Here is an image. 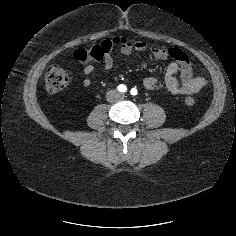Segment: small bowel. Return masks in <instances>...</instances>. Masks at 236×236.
Wrapping results in <instances>:
<instances>
[{
	"mask_svg": "<svg viewBox=\"0 0 236 236\" xmlns=\"http://www.w3.org/2000/svg\"><path fill=\"white\" fill-rule=\"evenodd\" d=\"M148 48V45L144 41H125L122 44L121 52L126 58H130L132 52L144 51ZM152 55L157 60L171 59V62L167 66L163 85L168 92L174 95H191L202 90L207 81L203 77H193V68L189 61L188 56L179 48L168 47L161 48L153 46L150 48ZM101 64L104 69L111 70L114 66V60L110 54H108ZM94 65L88 63L83 69L82 85L89 87L92 83L91 75L94 72ZM179 74V79L176 75ZM143 86L150 91L157 90L161 87V82L158 78L153 76H147L143 79Z\"/></svg>",
	"mask_w": 236,
	"mask_h": 236,
	"instance_id": "small-bowel-1",
	"label": "small bowel"
}]
</instances>
